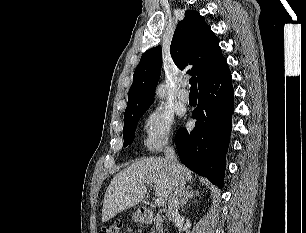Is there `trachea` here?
Listing matches in <instances>:
<instances>
[{
	"label": "trachea",
	"mask_w": 306,
	"mask_h": 233,
	"mask_svg": "<svg viewBox=\"0 0 306 233\" xmlns=\"http://www.w3.org/2000/svg\"><path fill=\"white\" fill-rule=\"evenodd\" d=\"M189 83L191 85L190 92H197V79L195 76L190 78Z\"/></svg>",
	"instance_id": "3493384b"
}]
</instances>
